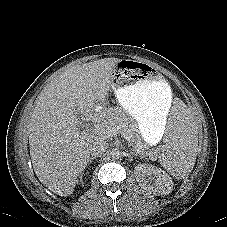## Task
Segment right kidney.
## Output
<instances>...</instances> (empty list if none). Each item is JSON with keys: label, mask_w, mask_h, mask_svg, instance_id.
<instances>
[{"label": "right kidney", "mask_w": 227, "mask_h": 227, "mask_svg": "<svg viewBox=\"0 0 227 227\" xmlns=\"http://www.w3.org/2000/svg\"><path fill=\"white\" fill-rule=\"evenodd\" d=\"M80 182H82V183H83L82 177H81V179H80Z\"/></svg>", "instance_id": "1"}]
</instances>
